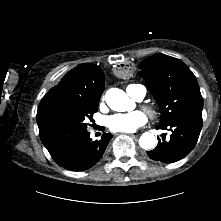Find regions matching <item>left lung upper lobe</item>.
I'll return each instance as SVG.
<instances>
[{"label":"left lung upper lobe","mask_w":221,"mask_h":221,"mask_svg":"<svg viewBox=\"0 0 221 221\" xmlns=\"http://www.w3.org/2000/svg\"><path fill=\"white\" fill-rule=\"evenodd\" d=\"M139 68L160 105V124L192 111H202L203 98L196 77L181 60L155 54L144 60ZM171 151L168 148L164 152Z\"/></svg>","instance_id":"5c2ea615"}]
</instances>
